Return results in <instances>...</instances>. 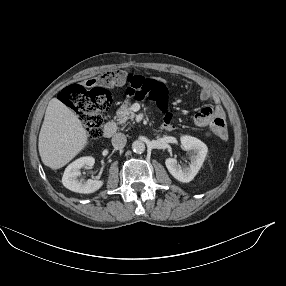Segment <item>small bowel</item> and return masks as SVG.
<instances>
[{
  "instance_id": "1",
  "label": "small bowel",
  "mask_w": 286,
  "mask_h": 286,
  "mask_svg": "<svg viewBox=\"0 0 286 286\" xmlns=\"http://www.w3.org/2000/svg\"><path fill=\"white\" fill-rule=\"evenodd\" d=\"M131 77L129 73L124 72V71H115V77L107 80V81H103V80H91V82H103L105 84H109V85H123L125 83L128 82V78ZM199 97L202 100H210L212 101L216 106L215 108H203L201 109L195 116V121L197 124L203 125L201 124L200 120L205 119V118H218L221 119L224 123H225V114L224 111L222 109V107L220 106V98L219 96L214 93L207 85L205 84H200V89H199ZM122 107L118 109L115 114H114V119L117 122H122L127 116H128V111L133 107V102L130 99H125L122 102ZM226 126V123H225ZM161 128L163 130H171L172 129V125L170 123L169 120H166Z\"/></svg>"
}]
</instances>
